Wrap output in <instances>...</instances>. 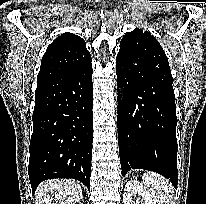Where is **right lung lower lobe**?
<instances>
[{"label": "right lung lower lobe", "mask_w": 206, "mask_h": 204, "mask_svg": "<svg viewBox=\"0 0 206 204\" xmlns=\"http://www.w3.org/2000/svg\"><path fill=\"white\" fill-rule=\"evenodd\" d=\"M91 60L68 73L39 81L35 91L29 179L73 178L90 190L93 142Z\"/></svg>", "instance_id": "1"}]
</instances>
